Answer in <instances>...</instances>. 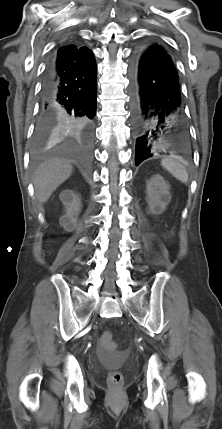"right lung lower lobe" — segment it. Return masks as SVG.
<instances>
[{
	"label": "right lung lower lobe",
	"mask_w": 222,
	"mask_h": 429,
	"mask_svg": "<svg viewBox=\"0 0 222 429\" xmlns=\"http://www.w3.org/2000/svg\"><path fill=\"white\" fill-rule=\"evenodd\" d=\"M96 75L91 50L85 54L68 45L60 47L45 68L36 128L89 135L96 113Z\"/></svg>",
	"instance_id": "right-lung-lower-lobe-1"
}]
</instances>
